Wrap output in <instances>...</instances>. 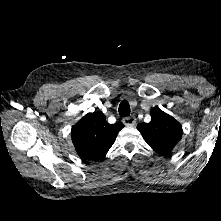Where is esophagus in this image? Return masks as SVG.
<instances>
[{
  "mask_svg": "<svg viewBox=\"0 0 221 221\" xmlns=\"http://www.w3.org/2000/svg\"><path fill=\"white\" fill-rule=\"evenodd\" d=\"M123 123L126 126H135L136 125V118L134 116L125 117L123 119Z\"/></svg>",
  "mask_w": 221,
  "mask_h": 221,
  "instance_id": "34e87169",
  "label": "esophagus"
}]
</instances>
